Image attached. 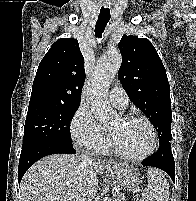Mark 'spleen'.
<instances>
[{
    "mask_svg": "<svg viewBox=\"0 0 196 201\" xmlns=\"http://www.w3.org/2000/svg\"><path fill=\"white\" fill-rule=\"evenodd\" d=\"M148 185L143 192V201H168L169 187L162 171L148 169Z\"/></svg>",
    "mask_w": 196,
    "mask_h": 201,
    "instance_id": "1",
    "label": "spleen"
}]
</instances>
